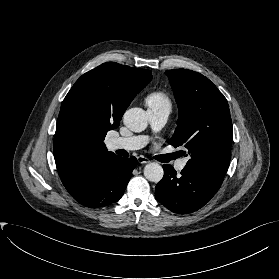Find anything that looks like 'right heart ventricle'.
<instances>
[{
    "instance_id": "obj_1",
    "label": "right heart ventricle",
    "mask_w": 279,
    "mask_h": 279,
    "mask_svg": "<svg viewBox=\"0 0 279 279\" xmlns=\"http://www.w3.org/2000/svg\"><path fill=\"white\" fill-rule=\"evenodd\" d=\"M149 109H171V101L168 95L161 90L153 91L146 97Z\"/></svg>"
}]
</instances>
